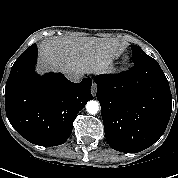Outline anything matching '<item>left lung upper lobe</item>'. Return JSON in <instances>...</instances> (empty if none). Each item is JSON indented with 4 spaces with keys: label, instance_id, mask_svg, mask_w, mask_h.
<instances>
[{
    "label": "left lung upper lobe",
    "instance_id": "5c2ea615",
    "mask_svg": "<svg viewBox=\"0 0 178 178\" xmlns=\"http://www.w3.org/2000/svg\"><path fill=\"white\" fill-rule=\"evenodd\" d=\"M131 48H132V61L134 64L153 60V58L148 56L145 52H143V50L140 47L136 45H131Z\"/></svg>",
    "mask_w": 178,
    "mask_h": 178
}]
</instances>
